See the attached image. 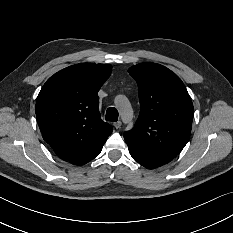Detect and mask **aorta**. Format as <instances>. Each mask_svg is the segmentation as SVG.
Returning a JSON list of instances; mask_svg holds the SVG:
<instances>
[{"mask_svg":"<svg viewBox=\"0 0 233 233\" xmlns=\"http://www.w3.org/2000/svg\"><path fill=\"white\" fill-rule=\"evenodd\" d=\"M130 113H131V118H132V110H130ZM124 119V118H123Z\"/></svg>","mask_w":233,"mask_h":233,"instance_id":"1","label":"aorta"}]
</instances>
